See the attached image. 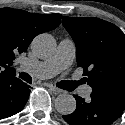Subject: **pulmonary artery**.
<instances>
[{"mask_svg":"<svg viewBox=\"0 0 125 125\" xmlns=\"http://www.w3.org/2000/svg\"><path fill=\"white\" fill-rule=\"evenodd\" d=\"M75 54V43L73 40L66 38L59 42L53 56L36 62L22 59V62L31 69L32 73L37 78L45 79L68 68L74 61ZM91 91L92 89L90 86H85L82 92L85 96H88Z\"/></svg>","mask_w":125,"mask_h":125,"instance_id":"pulmonary-artery-1","label":"pulmonary artery"}]
</instances>
